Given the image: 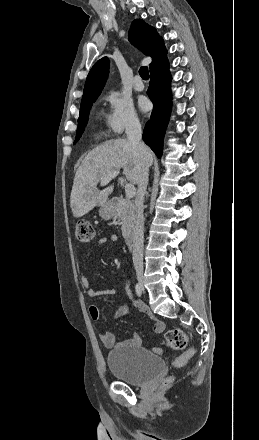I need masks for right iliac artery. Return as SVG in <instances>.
Returning a JSON list of instances; mask_svg holds the SVG:
<instances>
[{
    "label": "right iliac artery",
    "mask_w": 259,
    "mask_h": 440,
    "mask_svg": "<svg viewBox=\"0 0 259 440\" xmlns=\"http://www.w3.org/2000/svg\"><path fill=\"white\" fill-rule=\"evenodd\" d=\"M135 291H136L137 296L140 297L142 294V288L138 283L135 285Z\"/></svg>",
    "instance_id": "obj_1"
}]
</instances>
